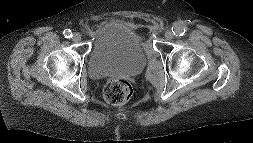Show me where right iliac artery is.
<instances>
[{"instance_id": "obj_1", "label": "right iliac artery", "mask_w": 253, "mask_h": 143, "mask_svg": "<svg viewBox=\"0 0 253 143\" xmlns=\"http://www.w3.org/2000/svg\"><path fill=\"white\" fill-rule=\"evenodd\" d=\"M63 34H64V36H65L66 38L72 37V33H71V31H70L69 29H65V30L63 31Z\"/></svg>"}]
</instances>
